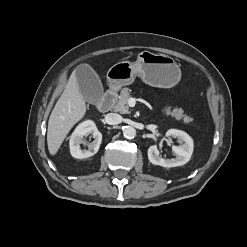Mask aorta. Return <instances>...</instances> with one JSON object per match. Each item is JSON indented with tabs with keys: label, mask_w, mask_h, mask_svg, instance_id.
Wrapping results in <instances>:
<instances>
[{
	"label": "aorta",
	"mask_w": 247,
	"mask_h": 247,
	"mask_svg": "<svg viewBox=\"0 0 247 247\" xmlns=\"http://www.w3.org/2000/svg\"><path fill=\"white\" fill-rule=\"evenodd\" d=\"M123 135L127 139H132V138H134L136 136V130H135L134 127L126 126L123 129Z\"/></svg>",
	"instance_id": "1"
}]
</instances>
